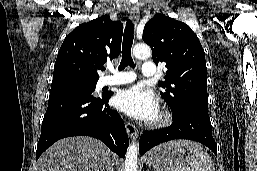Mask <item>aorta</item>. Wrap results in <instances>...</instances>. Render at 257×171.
Returning a JSON list of instances; mask_svg holds the SVG:
<instances>
[{"label": "aorta", "instance_id": "762f6f07", "mask_svg": "<svg viewBox=\"0 0 257 171\" xmlns=\"http://www.w3.org/2000/svg\"><path fill=\"white\" fill-rule=\"evenodd\" d=\"M133 55L137 59H147L151 56V49L146 44H137L133 48ZM138 144L133 142L129 145L125 156L124 171H137Z\"/></svg>", "mask_w": 257, "mask_h": 171}]
</instances>
